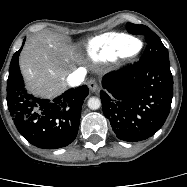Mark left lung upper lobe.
I'll return each mask as SVG.
<instances>
[{
	"label": "left lung upper lobe",
	"instance_id": "obj_1",
	"mask_svg": "<svg viewBox=\"0 0 187 187\" xmlns=\"http://www.w3.org/2000/svg\"><path fill=\"white\" fill-rule=\"evenodd\" d=\"M126 28L129 33L143 34L146 37L148 46L140 59L141 61L169 62L168 50L163 45L160 38L150 28L145 25H137L132 23H128Z\"/></svg>",
	"mask_w": 187,
	"mask_h": 187
}]
</instances>
